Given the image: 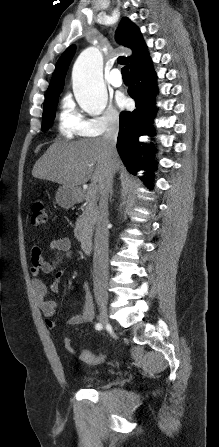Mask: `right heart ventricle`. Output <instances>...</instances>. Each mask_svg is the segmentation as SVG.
Returning <instances> with one entry per match:
<instances>
[{
  "mask_svg": "<svg viewBox=\"0 0 219 447\" xmlns=\"http://www.w3.org/2000/svg\"><path fill=\"white\" fill-rule=\"evenodd\" d=\"M59 133L65 139L92 136L87 120L77 111L70 97H65L58 115Z\"/></svg>",
  "mask_w": 219,
  "mask_h": 447,
  "instance_id": "1",
  "label": "right heart ventricle"
}]
</instances>
